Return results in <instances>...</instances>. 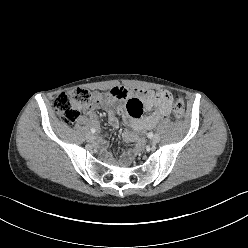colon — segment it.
Masks as SVG:
<instances>
[{
    "label": "colon",
    "instance_id": "colon-1",
    "mask_svg": "<svg viewBox=\"0 0 248 248\" xmlns=\"http://www.w3.org/2000/svg\"><path fill=\"white\" fill-rule=\"evenodd\" d=\"M162 95L173 102V114L176 119L184 116V103L181 96L167 90H162ZM95 96L84 89H76L70 93H61L54 101V110L67 125L73 124L80 115L82 108L94 103Z\"/></svg>",
    "mask_w": 248,
    "mask_h": 248
}]
</instances>
